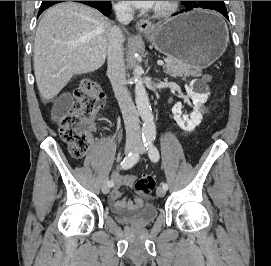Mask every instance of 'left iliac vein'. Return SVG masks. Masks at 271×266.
<instances>
[{
  "instance_id": "1",
  "label": "left iliac vein",
  "mask_w": 271,
  "mask_h": 266,
  "mask_svg": "<svg viewBox=\"0 0 271 266\" xmlns=\"http://www.w3.org/2000/svg\"><path fill=\"white\" fill-rule=\"evenodd\" d=\"M137 151L140 152V153H144L145 152V149L143 146H139L137 148ZM156 194L158 197H164L165 194H166V190L163 188V187H158L157 190H156Z\"/></svg>"
}]
</instances>
